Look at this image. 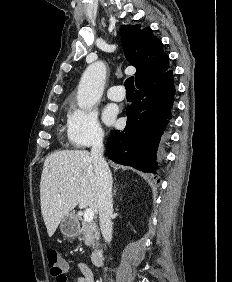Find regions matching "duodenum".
Wrapping results in <instances>:
<instances>
[{
    "label": "duodenum",
    "instance_id": "410a0bca",
    "mask_svg": "<svg viewBox=\"0 0 232 282\" xmlns=\"http://www.w3.org/2000/svg\"><path fill=\"white\" fill-rule=\"evenodd\" d=\"M103 251L100 248H95L91 253V261L96 266H101L103 264Z\"/></svg>",
    "mask_w": 232,
    "mask_h": 282
}]
</instances>
